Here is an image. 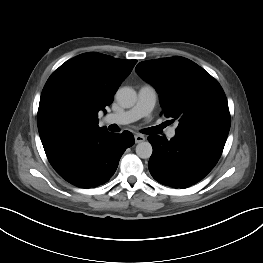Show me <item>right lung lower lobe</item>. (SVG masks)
Segmentation results:
<instances>
[{"label":"right lung lower lobe","instance_id":"right-lung-lower-lobe-1","mask_svg":"<svg viewBox=\"0 0 263 263\" xmlns=\"http://www.w3.org/2000/svg\"><path fill=\"white\" fill-rule=\"evenodd\" d=\"M134 144L129 131L86 130L43 144L50 164L69 183L90 188L106 183L124 151Z\"/></svg>","mask_w":263,"mask_h":263}]
</instances>
